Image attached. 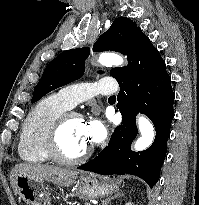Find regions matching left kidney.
I'll list each match as a JSON object with an SVG mask.
<instances>
[{
    "mask_svg": "<svg viewBox=\"0 0 199 205\" xmlns=\"http://www.w3.org/2000/svg\"><path fill=\"white\" fill-rule=\"evenodd\" d=\"M125 205H132V204H131V202H129V203H126Z\"/></svg>",
    "mask_w": 199,
    "mask_h": 205,
    "instance_id": "obj_1",
    "label": "left kidney"
}]
</instances>
